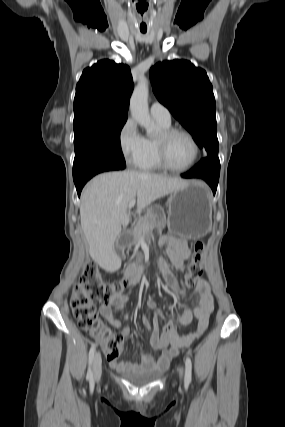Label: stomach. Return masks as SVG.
<instances>
[{"instance_id":"0dacf381","label":"stomach","mask_w":285,"mask_h":427,"mask_svg":"<svg viewBox=\"0 0 285 427\" xmlns=\"http://www.w3.org/2000/svg\"><path fill=\"white\" fill-rule=\"evenodd\" d=\"M148 211L154 214L157 224H167L170 233L186 239L201 238L212 226V197L206 184L198 180L173 192L167 217L157 206Z\"/></svg>"}]
</instances>
